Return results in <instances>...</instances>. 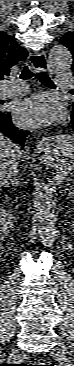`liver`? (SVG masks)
Wrapping results in <instances>:
<instances>
[{"label":"liver","instance_id":"liver-1","mask_svg":"<svg viewBox=\"0 0 74 366\" xmlns=\"http://www.w3.org/2000/svg\"><path fill=\"white\" fill-rule=\"evenodd\" d=\"M24 151L3 134L0 135V185L18 175L19 161L25 158Z\"/></svg>","mask_w":74,"mask_h":366}]
</instances>
